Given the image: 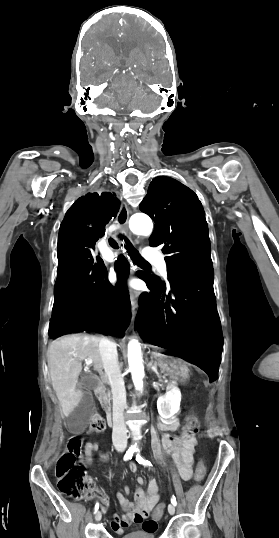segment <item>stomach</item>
I'll use <instances>...</instances> for the list:
<instances>
[{
    "label": "stomach",
    "mask_w": 279,
    "mask_h": 538,
    "mask_svg": "<svg viewBox=\"0 0 279 538\" xmlns=\"http://www.w3.org/2000/svg\"><path fill=\"white\" fill-rule=\"evenodd\" d=\"M154 362L163 368L164 372L175 374L176 380L182 379V374H188L189 365L184 358H180L179 353H157L152 352Z\"/></svg>",
    "instance_id": "1"
}]
</instances>
